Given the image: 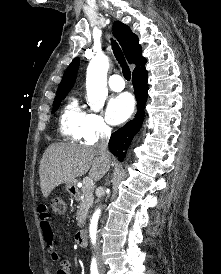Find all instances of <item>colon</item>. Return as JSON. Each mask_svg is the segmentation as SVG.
I'll list each match as a JSON object with an SVG mask.
<instances>
[{
  "mask_svg": "<svg viewBox=\"0 0 221 274\" xmlns=\"http://www.w3.org/2000/svg\"><path fill=\"white\" fill-rule=\"evenodd\" d=\"M50 207L56 214H61L66 209V201L63 197H54L50 201Z\"/></svg>",
  "mask_w": 221,
  "mask_h": 274,
  "instance_id": "5ec220e1",
  "label": "colon"
}]
</instances>
